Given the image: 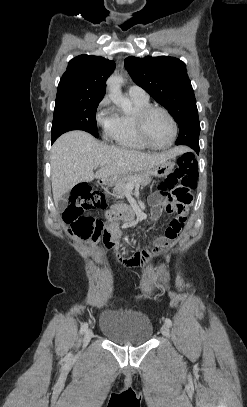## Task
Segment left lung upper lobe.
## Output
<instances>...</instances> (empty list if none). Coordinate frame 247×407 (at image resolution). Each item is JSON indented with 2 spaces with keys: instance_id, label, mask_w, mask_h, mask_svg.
Masks as SVG:
<instances>
[{
  "instance_id": "5c2ea615",
  "label": "left lung upper lobe",
  "mask_w": 247,
  "mask_h": 407,
  "mask_svg": "<svg viewBox=\"0 0 247 407\" xmlns=\"http://www.w3.org/2000/svg\"><path fill=\"white\" fill-rule=\"evenodd\" d=\"M125 68L133 81L163 105L179 126L177 145L199 143L200 122L185 64L174 57L130 56Z\"/></svg>"
}]
</instances>
